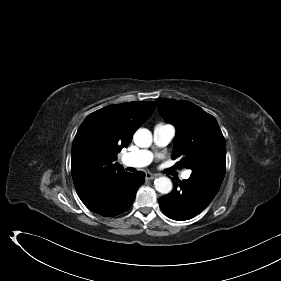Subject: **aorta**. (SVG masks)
<instances>
[{
	"label": "aorta",
	"mask_w": 281,
	"mask_h": 281,
	"mask_svg": "<svg viewBox=\"0 0 281 281\" xmlns=\"http://www.w3.org/2000/svg\"><path fill=\"white\" fill-rule=\"evenodd\" d=\"M134 143L141 148H148L152 144V133L146 128L138 129L133 136ZM155 189L161 194H168L172 190V182L168 177L162 176L154 181Z\"/></svg>",
	"instance_id": "aorta-1"
}]
</instances>
